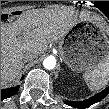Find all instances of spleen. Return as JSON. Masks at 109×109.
Wrapping results in <instances>:
<instances>
[{"label":"spleen","instance_id":"spleen-1","mask_svg":"<svg viewBox=\"0 0 109 109\" xmlns=\"http://www.w3.org/2000/svg\"><path fill=\"white\" fill-rule=\"evenodd\" d=\"M90 90H100L109 84V60L83 74Z\"/></svg>","mask_w":109,"mask_h":109}]
</instances>
